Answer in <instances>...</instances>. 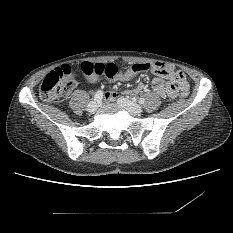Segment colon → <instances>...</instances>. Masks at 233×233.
<instances>
[{
  "instance_id": "obj_1",
  "label": "colon",
  "mask_w": 233,
  "mask_h": 233,
  "mask_svg": "<svg viewBox=\"0 0 233 233\" xmlns=\"http://www.w3.org/2000/svg\"><path fill=\"white\" fill-rule=\"evenodd\" d=\"M79 70L88 78L96 79L97 77L113 78L118 74L117 67L114 64H93L83 62ZM159 67L156 63H134L130 68L122 72L127 78L139 72H158ZM74 86L73 72L70 67L64 66L50 72L41 82L39 95L43 101H52L60 97H66L71 88ZM188 87L181 89L180 95H188Z\"/></svg>"
}]
</instances>
